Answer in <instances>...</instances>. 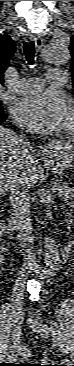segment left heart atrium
<instances>
[{
  "label": "left heart atrium",
  "instance_id": "1",
  "mask_svg": "<svg viewBox=\"0 0 74 366\" xmlns=\"http://www.w3.org/2000/svg\"><path fill=\"white\" fill-rule=\"evenodd\" d=\"M16 122L36 131H60L70 116V103L59 92L46 91L17 100L12 107Z\"/></svg>",
  "mask_w": 74,
  "mask_h": 366
}]
</instances>
